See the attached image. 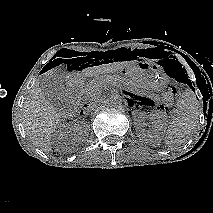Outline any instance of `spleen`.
I'll return each mask as SVG.
<instances>
[{"mask_svg": "<svg viewBox=\"0 0 213 213\" xmlns=\"http://www.w3.org/2000/svg\"><path fill=\"white\" fill-rule=\"evenodd\" d=\"M176 105L175 117L168 126L164 140L170 150L185 143L195 133L202 113V105L189 88L181 94Z\"/></svg>", "mask_w": 213, "mask_h": 213, "instance_id": "3e777b00", "label": "spleen"}]
</instances>
